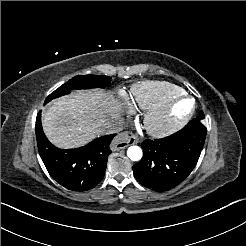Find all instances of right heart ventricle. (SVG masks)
<instances>
[{
    "mask_svg": "<svg viewBox=\"0 0 246 246\" xmlns=\"http://www.w3.org/2000/svg\"><path fill=\"white\" fill-rule=\"evenodd\" d=\"M182 90L172 84L160 81H141L131 87V105L150 111L156 109L176 97Z\"/></svg>",
    "mask_w": 246,
    "mask_h": 246,
    "instance_id": "e07e8e85",
    "label": "right heart ventricle"
}]
</instances>
